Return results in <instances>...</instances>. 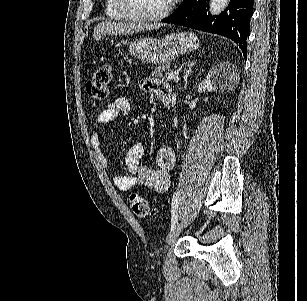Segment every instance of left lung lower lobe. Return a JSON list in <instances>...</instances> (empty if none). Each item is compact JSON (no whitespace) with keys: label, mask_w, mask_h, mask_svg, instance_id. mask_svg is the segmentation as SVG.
<instances>
[{"label":"left lung lower lobe","mask_w":307,"mask_h":301,"mask_svg":"<svg viewBox=\"0 0 307 301\" xmlns=\"http://www.w3.org/2000/svg\"><path fill=\"white\" fill-rule=\"evenodd\" d=\"M209 0H184L179 8L162 20L232 39L246 57L247 36L253 14V0H230L228 7L217 16L208 11Z\"/></svg>","instance_id":"obj_1"}]
</instances>
